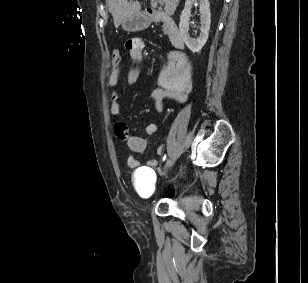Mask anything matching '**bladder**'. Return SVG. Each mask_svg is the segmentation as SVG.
I'll list each match as a JSON object with an SVG mask.
<instances>
[{
  "label": "bladder",
  "instance_id": "bladder-1",
  "mask_svg": "<svg viewBox=\"0 0 308 283\" xmlns=\"http://www.w3.org/2000/svg\"><path fill=\"white\" fill-rule=\"evenodd\" d=\"M134 185L139 194L150 199L157 193L155 173L148 168H139L133 174Z\"/></svg>",
  "mask_w": 308,
  "mask_h": 283
}]
</instances>
